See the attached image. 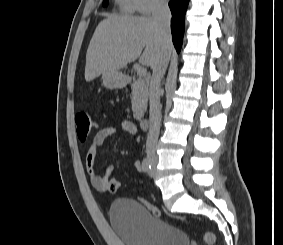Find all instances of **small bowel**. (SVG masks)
Returning a JSON list of instances; mask_svg holds the SVG:
<instances>
[{"label": "small bowel", "instance_id": "obj_1", "mask_svg": "<svg viewBox=\"0 0 283 245\" xmlns=\"http://www.w3.org/2000/svg\"><path fill=\"white\" fill-rule=\"evenodd\" d=\"M119 125L122 130L131 135H135L137 133L136 125L129 120H122L120 121ZM116 133L117 128L114 126L102 128L95 134L86 152L85 165L89 182L93 186V188H95L100 193L109 192L108 184L110 181V175L113 171V166L111 164H108L103 175H99L95 170L97 151L107 138L115 135ZM134 166L138 172H141L143 170L142 163L140 161H136Z\"/></svg>", "mask_w": 283, "mask_h": 245}]
</instances>
